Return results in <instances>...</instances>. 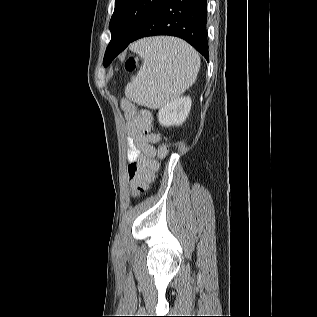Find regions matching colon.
I'll return each mask as SVG.
<instances>
[{
	"instance_id": "obj_1",
	"label": "colon",
	"mask_w": 317,
	"mask_h": 317,
	"mask_svg": "<svg viewBox=\"0 0 317 317\" xmlns=\"http://www.w3.org/2000/svg\"><path fill=\"white\" fill-rule=\"evenodd\" d=\"M136 67V61L133 57L127 59L125 68L128 72H133ZM134 123L138 129L147 133L152 123V114L148 109H141L137 111ZM168 147L163 145L159 148L158 156L160 158L167 154ZM157 163L155 160L141 157L138 160L132 162L128 166V177L131 192L133 195H137L147 188L149 182L152 179L153 172L156 169Z\"/></svg>"
}]
</instances>
